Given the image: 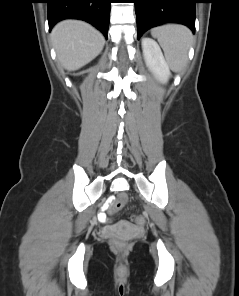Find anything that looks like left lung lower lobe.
<instances>
[{
	"instance_id": "left-lung-lower-lobe-1",
	"label": "left lung lower lobe",
	"mask_w": 239,
	"mask_h": 296,
	"mask_svg": "<svg viewBox=\"0 0 239 296\" xmlns=\"http://www.w3.org/2000/svg\"><path fill=\"white\" fill-rule=\"evenodd\" d=\"M197 0H134L138 39L148 29L167 22L181 23L195 33Z\"/></svg>"
}]
</instances>
